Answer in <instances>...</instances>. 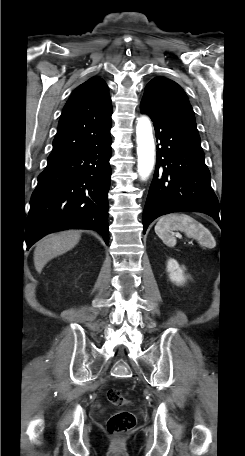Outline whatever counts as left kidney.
Returning a JSON list of instances; mask_svg holds the SVG:
<instances>
[{
    "label": "left kidney",
    "instance_id": "5707ae66",
    "mask_svg": "<svg viewBox=\"0 0 245 456\" xmlns=\"http://www.w3.org/2000/svg\"><path fill=\"white\" fill-rule=\"evenodd\" d=\"M167 270L170 272V280L178 285H182L186 278L183 268H181L175 259H169L167 262Z\"/></svg>",
    "mask_w": 245,
    "mask_h": 456
}]
</instances>
